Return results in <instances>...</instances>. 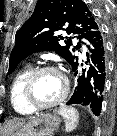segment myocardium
I'll use <instances>...</instances> for the list:
<instances>
[{
	"label": "myocardium",
	"instance_id": "obj_1",
	"mask_svg": "<svg viewBox=\"0 0 117 136\" xmlns=\"http://www.w3.org/2000/svg\"><path fill=\"white\" fill-rule=\"evenodd\" d=\"M44 72H55L57 73L61 79L63 80L64 83V89L62 94L54 101L47 103V104H38L33 97V88H34V83L37 79V77L44 73ZM70 91V84L69 80L66 77V75L60 71L58 68L53 67V66H41L38 68H35L32 70L30 75L28 76L25 86H24V99L27 105L34 111H43V110H48L51 109L59 104H61L67 97L68 93Z\"/></svg>",
	"mask_w": 117,
	"mask_h": 136
}]
</instances>
